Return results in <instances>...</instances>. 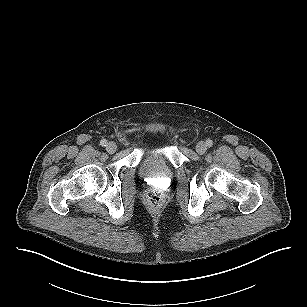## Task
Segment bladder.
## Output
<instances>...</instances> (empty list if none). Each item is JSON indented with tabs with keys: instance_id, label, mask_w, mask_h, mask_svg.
I'll list each match as a JSON object with an SVG mask.
<instances>
[{
	"instance_id": "1",
	"label": "bladder",
	"mask_w": 307,
	"mask_h": 307,
	"mask_svg": "<svg viewBox=\"0 0 307 307\" xmlns=\"http://www.w3.org/2000/svg\"><path fill=\"white\" fill-rule=\"evenodd\" d=\"M140 173L146 178L171 179L173 172L164 157L158 152L145 155L140 162Z\"/></svg>"
}]
</instances>
